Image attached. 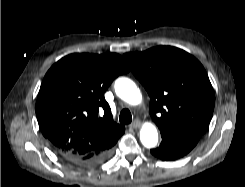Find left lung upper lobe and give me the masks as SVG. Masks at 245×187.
<instances>
[{"label": "left lung upper lobe", "instance_id": "5c2ea615", "mask_svg": "<svg viewBox=\"0 0 245 187\" xmlns=\"http://www.w3.org/2000/svg\"><path fill=\"white\" fill-rule=\"evenodd\" d=\"M123 57L150 96V115L160 132L205 133L215 100L207 73L195 57L171 46Z\"/></svg>", "mask_w": 245, "mask_h": 187}]
</instances>
